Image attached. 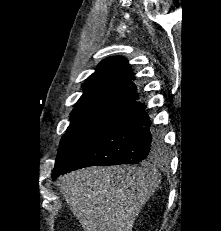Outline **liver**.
<instances>
[{"label":"liver","instance_id":"liver-1","mask_svg":"<svg viewBox=\"0 0 221 231\" xmlns=\"http://www.w3.org/2000/svg\"><path fill=\"white\" fill-rule=\"evenodd\" d=\"M61 192L84 231H132L136 217L158 187L146 167H90L60 177Z\"/></svg>","mask_w":221,"mask_h":231}]
</instances>
